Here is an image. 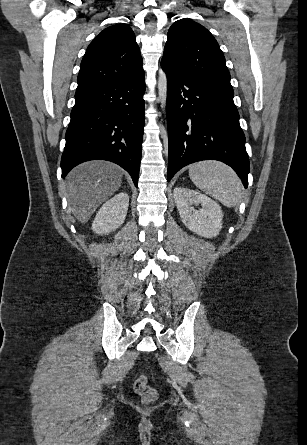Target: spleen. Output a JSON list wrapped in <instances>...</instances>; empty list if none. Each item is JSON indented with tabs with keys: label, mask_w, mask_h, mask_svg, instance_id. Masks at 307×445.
I'll return each instance as SVG.
<instances>
[{
	"label": "spleen",
	"mask_w": 307,
	"mask_h": 445,
	"mask_svg": "<svg viewBox=\"0 0 307 445\" xmlns=\"http://www.w3.org/2000/svg\"><path fill=\"white\" fill-rule=\"evenodd\" d=\"M189 176L201 190L225 206H234L242 194V184L235 170L218 160H202L189 166Z\"/></svg>",
	"instance_id": "3e777b00"
}]
</instances>
